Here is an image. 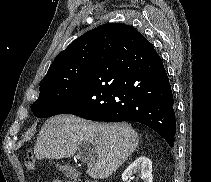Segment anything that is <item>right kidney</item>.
<instances>
[{
	"mask_svg": "<svg viewBox=\"0 0 211 182\" xmlns=\"http://www.w3.org/2000/svg\"><path fill=\"white\" fill-rule=\"evenodd\" d=\"M139 173L143 182H152V162L145 156L137 158L122 174V180L126 182L132 174Z\"/></svg>",
	"mask_w": 211,
	"mask_h": 182,
	"instance_id": "right-kidney-1",
	"label": "right kidney"
}]
</instances>
